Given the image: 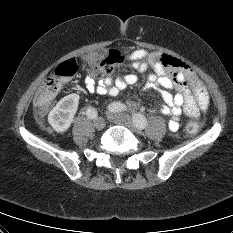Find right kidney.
<instances>
[{
  "instance_id": "obj_1",
  "label": "right kidney",
  "mask_w": 233,
  "mask_h": 233,
  "mask_svg": "<svg viewBox=\"0 0 233 233\" xmlns=\"http://www.w3.org/2000/svg\"><path fill=\"white\" fill-rule=\"evenodd\" d=\"M79 98L76 93L67 95L50 111L48 122L56 132L62 133L69 129L78 109Z\"/></svg>"
}]
</instances>
